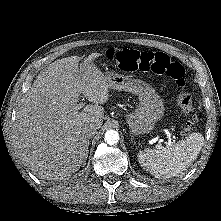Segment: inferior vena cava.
Listing matches in <instances>:
<instances>
[{"mask_svg":"<svg viewBox=\"0 0 221 221\" xmlns=\"http://www.w3.org/2000/svg\"><path fill=\"white\" fill-rule=\"evenodd\" d=\"M98 128L99 127L96 123H90L86 128L88 136L91 137L93 134H95Z\"/></svg>","mask_w":221,"mask_h":221,"instance_id":"602c4592","label":"inferior vena cava"}]
</instances>
